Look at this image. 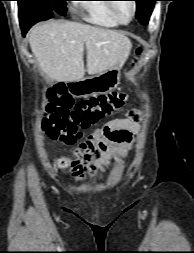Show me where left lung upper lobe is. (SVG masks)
Listing matches in <instances>:
<instances>
[{"label":"left lung upper lobe","instance_id":"5c2ea615","mask_svg":"<svg viewBox=\"0 0 194 253\" xmlns=\"http://www.w3.org/2000/svg\"><path fill=\"white\" fill-rule=\"evenodd\" d=\"M137 3L136 18L143 25L148 23L153 6L158 0H134Z\"/></svg>","mask_w":194,"mask_h":253}]
</instances>
